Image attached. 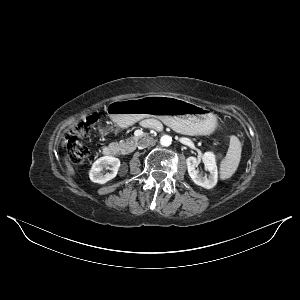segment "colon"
Masks as SVG:
<instances>
[{"mask_svg": "<svg viewBox=\"0 0 300 300\" xmlns=\"http://www.w3.org/2000/svg\"><path fill=\"white\" fill-rule=\"evenodd\" d=\"M96 115H91L74 125L65 137L66 156L73 164L82 163L89 155V149L83 139L89 134L96 122Z\"/></svg>", "mask_w": 300, "mask_h": 300, "instance_id": "1", "label": "colon"}]
</instances>
